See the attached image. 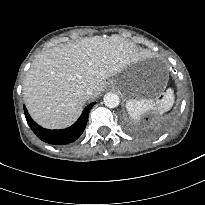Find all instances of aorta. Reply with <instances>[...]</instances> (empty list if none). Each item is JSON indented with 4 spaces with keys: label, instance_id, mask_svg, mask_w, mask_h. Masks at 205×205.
<instances>
[{
    "label": "aorta",
    "instance_id": "aorta-1",
    "mask_svg": "<svg viewBox=\"0 0 205 205\" xmlns=\"http://www.w3.org/2000/svg\"><path fill=\"white\" fill-rule=\"evenodd\" d=\"M103 100H104L105 106L108 108H115L120 103L119 96L113 92H109L105 94Z\"/></svg>",
    "mask_w": 205,
    "mask_h": 205
}]
</instances>
